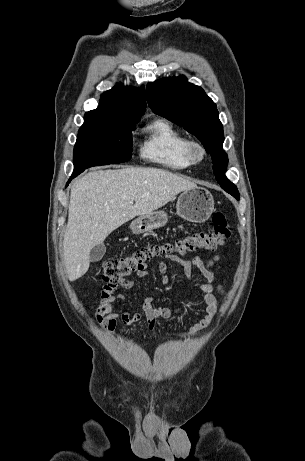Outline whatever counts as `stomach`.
I'll return each instance as SVG.
<instances>
[{
  "label": "stomach",
  "instance_id": "1",
  "mask_svg": "<svg viewBox=\"0 0 305 461\" xmlns=\"http://www.w3.org/2000/svg\"><path fill=\"white\" fill-rule=\"evenodd\" d=\"M177 215L193 223H203L208 220L214 211V199L205 188L195 187L183 191L178 197ZM168 215L164 211H153L141 215L130 224L133 234H143L165 226Z\"/></svg>",
  "mask_w": 305,
  "mask_h": 461
}]
</instances>
